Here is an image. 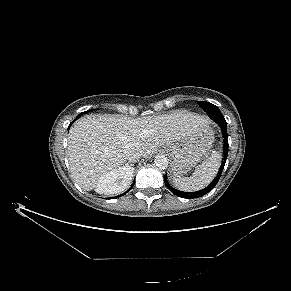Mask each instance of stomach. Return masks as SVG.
Instances as JSON below:
<instances>
[{"mask_svg":"<svg viewBox=\"0 0 291 291\" xmlns=\"http://www.w3.org/2000/svg\"><path fill=\"white\" fill-rule=\"evenodd\" d=\"M214 132L209 125L177 143L164 146V151L172 158L173 177H183L212 148Z\"/></svg>","mask_w":291,"mask_h":291,"instance_id":"1","label":"stomach"}]
</instances>
